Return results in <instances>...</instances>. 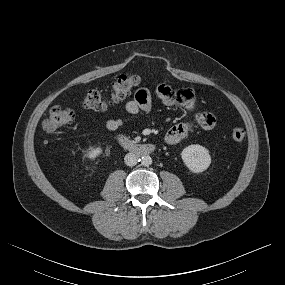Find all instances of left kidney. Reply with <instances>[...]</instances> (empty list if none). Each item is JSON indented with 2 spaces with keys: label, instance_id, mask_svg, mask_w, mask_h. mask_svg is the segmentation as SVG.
Instances as JSON below:
<instances>
[{
  "label": "left kidney",
  "instance_id": "left-kidney-1",
  "mask_svg": "<svg viewBox=\"0 0 285 285\" xmlns=\"http://www.w3.org/2000/svg\"><path fill=\"white\" fill-rule=\"evenodd\" d=\"M181 157L187 168L193 173L205 171L211 164L209 151L198 144L183 149Z\"/></svg>",
  "mask_w": 285,
  "mask_h": 285
}]
</instances>
